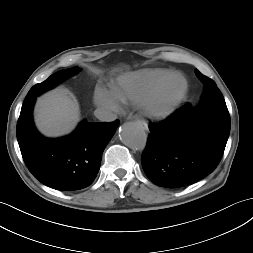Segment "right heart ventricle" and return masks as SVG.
Masks as SVG:
<instances>
[{"instance_id":"1","label":"right heart ventricle","mask_w":253,"mask_h":253,"mask_svg":"<svg viewBox=\"0 0 253 253\" xmlns=\"http://www.w3.org/2000/svg\"><path fill=\"white\" fill-rule=\"evenodd\" d=\"M175 73L166 69L145 70L120 79L111 87L117 102L137 104Z\"/></svg>"}]
</instances>
